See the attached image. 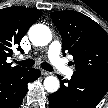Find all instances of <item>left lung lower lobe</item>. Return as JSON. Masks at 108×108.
<instances>
[{
	"mask_svg": "<svg viewBox=\"0 0 108 108\" xmlns=\"http://www.w3.org/2000/svg\"><path fill=\"white\" fill-rule=\"evenodd\" d=\"M60 82V89L48 97L50 108H95L108 90L107 76L74 73Z\"/></svg>",
	"mask_w": 108,
	"mask_h": 108,
	"instance_id": "obj_1",
	"label": "left lung lower lobe"
}]
</instances>
